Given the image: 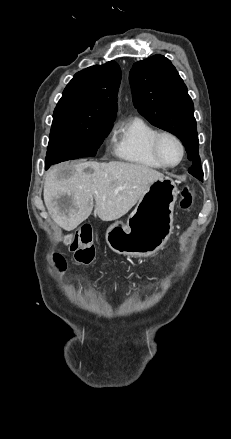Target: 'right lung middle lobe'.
<instances>
[{
    "mask_svg": "<svg viewBox=\"0 0 231 439\" xmlns=\"http://www.w3.org/2000/svg\"><path fill=\"white\" fill-rule=\"evenodd\" d=\"M112 122L86 116L53 118L46 168L66 160L95 156Z\"/></svg>",
    "mask_w": 231,
    "mask_h": 439,
    "instance_id": "dd1d6c3e",
    "label": "right lung middle lobe"
}]
</instances>
